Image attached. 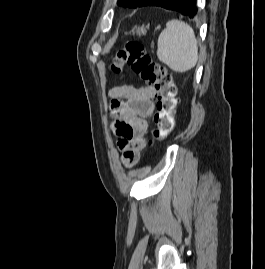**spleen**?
I'll return each mask as SVG.
<instances>
[{"label":"spleen","mask_w":265,"mask_h":269,"mask_svg":"<svg viewBox=\"0 0 265 269\" xmlns=\"http://www.w3.org/2000/svg\"><path fill=\"white\" fill-rule=\"evenodd\" d=\"M157 57L178 73L194 68L198 61V45L192 27L177 19L168 21L158 38Z\"/></svg>","instance_id":"spleen-1"}]
</instances>
